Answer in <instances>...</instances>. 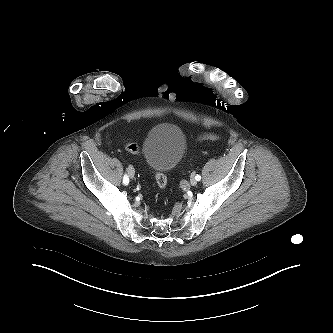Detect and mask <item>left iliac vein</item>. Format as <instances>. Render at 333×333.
<instances>
[{"label": "left iliac vein", "instance_id": "left-iliac-vein-1", "mask_svg": "<svg viewBox=\"0 0 333 333\" xmlns=\"http://www.w3.org/2000/svg\"><path fill=\"white\" fill-rule=\"evenodd\" d=\"M190 183L192 186H195L197 184V180L193 174L190 177Z\"/></svg>", "mask_w": 333, "mask_h": 333}]
</instances>
